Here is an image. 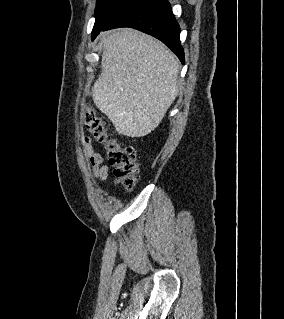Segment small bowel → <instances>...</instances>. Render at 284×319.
I'll use <instances>...</instances> for the list:
<instances>
[{"label":"small bowel","instance_id":"1","mask_svg":"<svg viewBox=\"0 0 284 319\" xmlns=\"http://www.w3.org/2000/svg\"><path fill=\"white\" fill-rule=\"evenodd\" d=\"M83 147L85 155L90 163L93 177L102 182L106 181L109 168L106 165H102L103 157L94 151L92 140L88 137H85L83 141Z\"/></svg>","mask_w":284,"mask_h":319}]
</instances>
